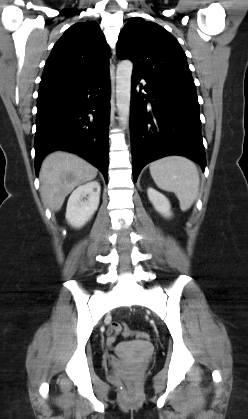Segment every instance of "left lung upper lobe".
I'll return each mask as SVG.
<instances>
[{"label": "left lung upper lobe", "mask_w": 248, "mask_h": 419, "mask_svg": "<svg viewBox=\"0 0 248 419\" xmlns=\"http://www.w3.org/2000/svg\"><path fill=\"white\" fill-rule=\"evenodd\" d=\"M116 53L120 59L132 60L133 72L196 90L183 49L173 35L156 23L130 20L119 34Z\"/></svg>", "instance_id": "obj_1"}]
</instances>
